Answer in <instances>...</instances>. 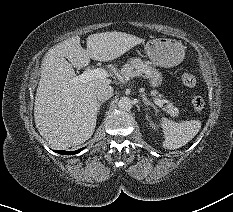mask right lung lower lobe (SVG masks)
<instances>
[{"mask_svg":"<svg viewBox=\"0 0 233 212\" xmlns=\"http://www.w3.org/2000/svg\"><path fill=\"white\" fill-rule=\"evenodd\" d=\"M82 149H79V150H76V151H56V152H58V153H60V154H65V155H68V154H77V153H79L80 151H81Z\"/></svg>","mask_w":233,"mask_h":212,"instance_id":"right-lung-lower-lobe-1","label":"right lung lower lobe"}]
</instances>
